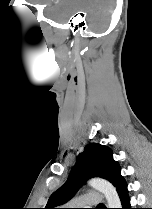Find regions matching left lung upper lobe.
<instances>
[{"mask_svg": "<svg viewBox=\"0 0 152 209\" xmlns=\"http://www.w3.org/2000/svg\"><path fill=\"white\" fill-rule=\"evenodd\" d=\"M120 172L121 167L113 159L109 147L97 143L88 144L84 152L78 155L67 181L50 196L44 209H57V206L69 201L86 180L92 177L104 178L118 190L125 182Z\"/></svg>", "mask_w": 152, "mask_h": 209, "instance_id": "1", "label": "left lung upper lobe"}]
</instances>
